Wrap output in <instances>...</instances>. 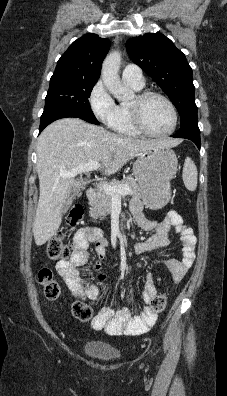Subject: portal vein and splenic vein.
I'll return each instance as SVG.
<instances>
[{
  "label": "portal vein and splenic vein",
  "mask_w": 227,
  "mask_h": 396,
  "mask_svg": "<svg viewBox=\"0 0 227 396\" xmlns=\"http://www.w3.org/2000/svg\"><path fill=\"white\" fill-rule=\"evenodd\" d=\"M100 167L99 162H90L85 164H80L70 171L61 172V177L63 178H71L75 177L80 173H85L89 171L97 170ZM100 187L109 195L113 197H118L120 195H127L131 193V189L128 186H113L107 183L100 184Z\"/></svg>",
  "instance_id": "portal-vein-and-splenic-vein-1"
}]
</instances>
